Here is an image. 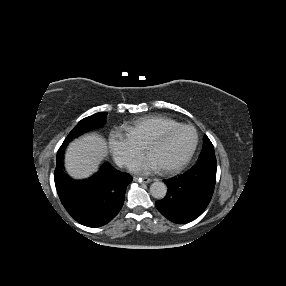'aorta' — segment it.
<instances>
[{"mask_svg":"<svg viewBox=\"0 0 286 286\" xmlns=\"http://www.w3.org/2000/svg\"><path fill=\"white\" fill-rule=\"evenodd\" d=\"M150 193L156 199H163L167 193V186L161 181H156L151 184Z\"/></svg>","mask_w":286,"mask_h":286,"instance_id":"1","label":"aorta"}]
</instances>
